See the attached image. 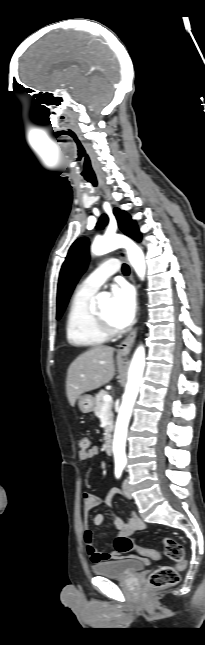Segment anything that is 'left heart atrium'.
I'll return each mask as SVG.
<instances>
[{
    "label": "left heart atrium",
    "mask_w": 205,
    "mask_h": 645,
    "mask_svg": "<svg viewBox=\"0 0 205 645\" xmlns=\"http://www.w3.org/2000/svg\"><path fill=\"white\" fill-rule=\"evenodd\" d=\"M111 304L115 326L125 328L130 325L136 311V299L132 289L127 285L113 287Z\"/></svg>",
    "instance_id": "obj_1"
}]
</instances>
